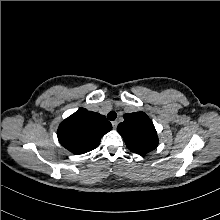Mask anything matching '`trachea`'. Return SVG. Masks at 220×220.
I'll return each mask as SVG.
<instances>
[{
  "instance_id": "obj_1",
  "label": "trachea",
  "mask_w": 220,
  "mask_h": 220,
  "mask_svg": "<svg viewBox=\"0 0 220 220\" xmlns=\"http://www.w3.org/2000/svg\"><path fill=\"white\" fill-rule=\"evenodd\" d=\"M107 118L110 120V121H114L116 118H117V114L116 112L114 111H111L107 114Z\"/></svg>"
}]
</instances>
